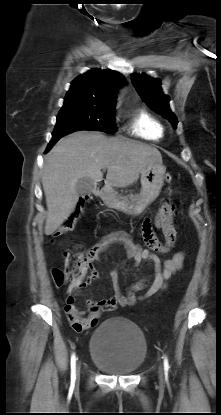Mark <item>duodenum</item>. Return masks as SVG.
Wrapping results in <instances>:
<instances>
[{"instance_id": "duodenum-1", "label": "duodenum", "mask_w": 221, "mask_h": 415, "mask_svg": "<svg viewBox=\"0 0 221 415\" xmlns=\"http://www.w3.org/2000/svg\"><path fill=\"white\" fill-rule=\"evenodd\" d=\"M105 191H106V184L104 181H97L94 184L93 194L95 196H101L104 194Z\"/></svg>"}]
</instances>
